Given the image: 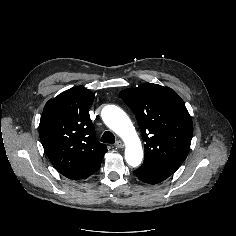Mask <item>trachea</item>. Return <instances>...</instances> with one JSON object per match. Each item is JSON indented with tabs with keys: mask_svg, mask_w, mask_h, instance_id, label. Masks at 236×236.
I'll use <instances>...</instances> for the list:
<instances>
[{
	"mask_svg": "<svg viewBox=\"0 0 236 236\" xmlns=\"http://www.w3.org/2000/svg\"><path fill=\"white\" fill-rule=\"evenodd\" d=\"M101 141L103 143H115V137L112 132L106 131L101 137Z\"/></svg>",
	"mask_w": 236,
	"mask_h": 236,
	"instance_id": "trachea-1",
	"label": "trachea"
}]
</instances>
